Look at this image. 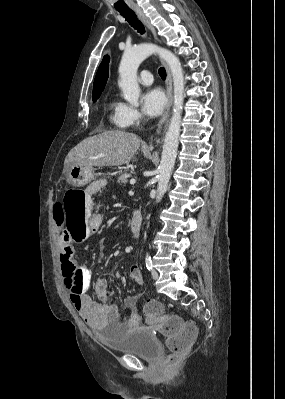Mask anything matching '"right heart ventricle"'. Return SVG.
<instances>
[{
  "label": "right heart ventricle",
  "mask_w": 285,
  "mask_h": 399,
  "mask_svg": "<svg viewBox=\"0 0 285 399\" xmlns=\"http://www.w3.org/2000/svg\"><path fill=\"white\" fill-rule=\"evenodd\" d=\"M108 110L110 112V121L117 129H126L125 123V105L120 101L112 98L108 103Z\"/></svg>",
  "instance_id": "obj_1"
}]
</instances>
